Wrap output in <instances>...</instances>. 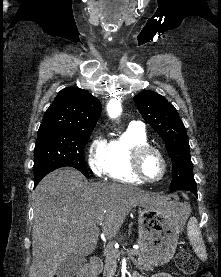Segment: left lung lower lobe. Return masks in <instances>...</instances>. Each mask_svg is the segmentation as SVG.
Masks as SVG:
<instances>
[{"mask_svg":"<svg viewBox=\"0 0 221 277\" xmlns=\"http://www.w3.org/2000/svg\"><path fill=\"white\" fill-rule=\"evenodd\" d=\"M189 191H191L195 196H197L196 186H191L189 188Z\"/></svg>","mask_w":221,"mask_h":277,"instance_id":"left-lung-lower-lobe-1","label":"left lung lower lobe"}]
</instances>
